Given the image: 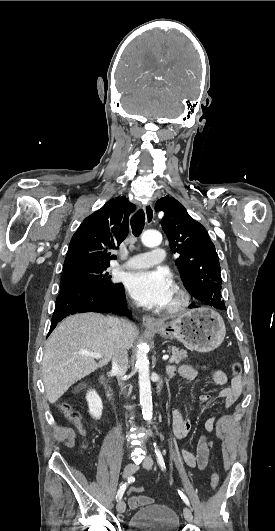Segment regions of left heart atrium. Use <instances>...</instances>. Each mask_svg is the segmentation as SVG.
<instances>
[{"mask_svg":"<svg viewBox=\"0 0 275 531\" xmlns=\"http://www.w3.org/2000/svg\"><path fill=\"white\" fill-rule=\"evenodd\" d=\"M125 284L137 302L150 308L164 307L173 288L172 276L164 268H145L128 273Z\"/></svg>","mask_w":275,"mask_h":531,"instance_id":"obj_1","label":"left heart atrium"}]
</instances>
